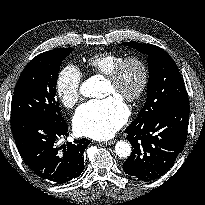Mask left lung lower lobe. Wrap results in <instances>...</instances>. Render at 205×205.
I'll return each instance as SVG.
<instances>
[{
  "instance_id": "0a47b994",
  "label": "left lung lower lobe",
  "mask_w": 205,
  "mask_h": 205,
  "mask_svg": "<svg viewBox=\"0 0 205 205\" xmlns=\"http://www.w3.org/2000/svg\"><path fill=\"white\" fill-rule=\"evenodd\" d=\"M188 118L189 102H178L144 123L127 127L125 133L133 150L123 170L143 181L162 176L185 145Z\"/></svg>"
}]
</instances>
